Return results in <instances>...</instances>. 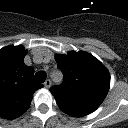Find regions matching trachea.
<instances>
[{"instance_id":"3493384b","label":"trachea","mask_w":128,"mask_h":128,"mask_svg":"<svg viewBox=\"0 0 128 128\" xmlns=\"http://www.w3.org/2000/svg\"><path fill=\"white\" fill-rule=\"evenodd\" d=\"M35 79H36L37 82L43 83L45 81V79H46L45 72L40 71V72L36 73Z\"/></svg>"}]
</instances>
